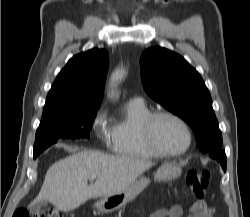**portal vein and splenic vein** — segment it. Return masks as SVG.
<instances>
[{
	"mask_svg": "<svg viewBox=\"0 0 250 217\" xmlns=\"http://www.w3.org/2000/svg\"><path fill=\"white\" fill-rule=\"evenodd\" d=\"M92 180L96 179V177H91Z\"/></svg>",
	"mask_w": 250,
	"mask_h": 217,
	"instance_id": "obj_1",
	"label": "portal vein and splenic vein"
}]
</instances>
